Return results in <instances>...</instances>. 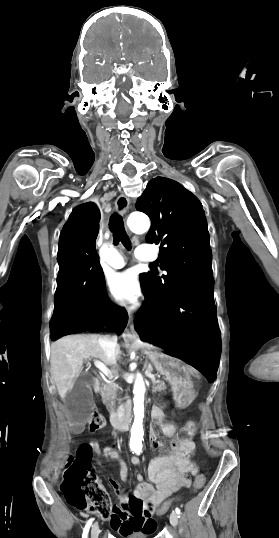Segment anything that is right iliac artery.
I'll list each match as a JSON object with an SVG mask.
<instances>
[{
    "label": "right iliac artery",
    "instance_id": "right-iliac-artery-1",
    "mask_svg": "<svg viewBox=\"0 0 279 538\" xmlns=\"http://www.w3.org/2000/svg\"><path fill=\"white\" fill-rule=\"evenodd\" d=\"M93 522V518H90L87 522V524L85 525V528L83 530V534H82V538H88V533H89V529H90V526Z\"/></svg>",
    "mask_w": 279,
    "mask_h": 538
}]
</instances>
